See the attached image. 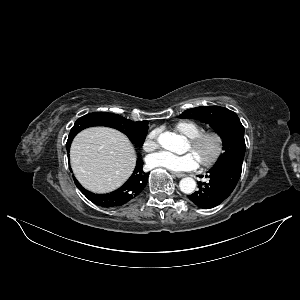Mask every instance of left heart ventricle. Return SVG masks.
Listing matches in <instances>:
<instances>
[{"label":"left heart ventricle","instance_id":"obj_1","mask_svg":"<svg viewBox=\"0 0 300 300\" xmlns=\"http://www.w3.org/2000/svg\"><path fill=\"white\" fill-rule=\"evenodd\" d=\"M215 148V140L208 138L196 147H192L189 143H187L185 151L193 154L197 162L200 163L210 158L213 155Z\"/></svg>","mask_w":300,"mask_h":300}]
</instances>
